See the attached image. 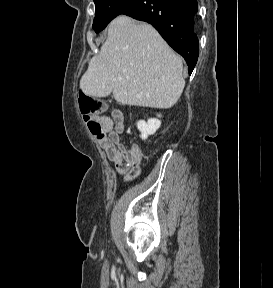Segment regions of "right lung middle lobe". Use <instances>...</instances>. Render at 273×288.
Listing matches in <instances>:
<instances>
[{"instance_id":"right-lung-middle-lobe-1","label":"right lung middle lobe","mask_w":273,"mask_h":288,"mask_svg":"<svg viewBox=\"0 0 273 288\" xmlns=\"http://www.w3.org/2000/svg\"><path fill=\"white\" fill-rule=\"evenodd\" d=\"M137 0H94L95 18L93 29L95 32L103 30L116 16L121 15Z\"/></svg>"}]
</instances>
